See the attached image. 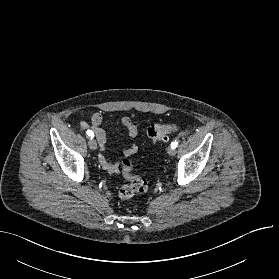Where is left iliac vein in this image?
I'll list each match as a JSON object with an SVG mask.
<instances>
[{
    "label": "left iliac vein",
    "mask_w": 279,
    "mask_h": 279,
    "mask_svg": "<svg viewBox=\"0 0 279 279\" xmlns=\"http://www.w3.org/2000/svg\"><path fill=\"white\" fill-rule=\"evenodd\" d=\"M167 152L170 156H174L176 154V150L172 147L168 148Z\"/></svg>",
    "instance_id": "left-iliac-vein-1"
}]
</instances>
